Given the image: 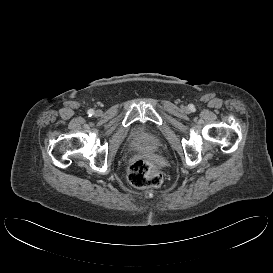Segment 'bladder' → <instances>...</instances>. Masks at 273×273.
I'll list each match as a JSON object with an SVG mask.
<instances>
[{
  "instance_id": "31cf9c89",
  "label": "bladder",
  "mask_w": 273,
  "mask_h": 273,
  "mask_svg": "<svg viewBox=\"0 0 273 273\" xmlns=\"http://www.w3.org/2000/svg\"><path fill=\"white\" fill-rule=\"evenodd\" d=\"M123 143L127 148L156 150L161 145V137L154 131L136 127L128 133Z\"/></svg>"
}]
</instances>
